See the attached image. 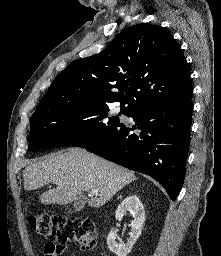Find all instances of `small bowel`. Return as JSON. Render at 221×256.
Masks as SVG:
<instances>
[{
    "label": "small bowel",
    "instance_id": "small-bowel-1",
    "mask_svg": "<svg viewBox=\"0 0 221 256\" xmlns=\"http://www.w3.org/2000/svg\"><path fill=\"white\" fill-rule=\"evenodd\" d=\"M45 256H55V255L52 254V253H48V252L45 251Z\"/></svg>",
    "mask_w": 221,
    "mask_h": 256
}]
</instances>
